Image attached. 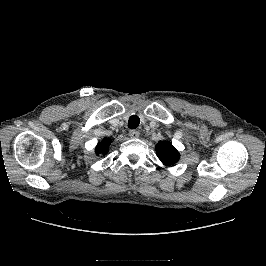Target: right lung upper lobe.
I'll return each instance as SVG.
<instances>
[{
    "instance_id": "obj_1",
    "label": "right lung upper lobe",
    "mask_w": 266,
    "mask_h": 266,
    "mask_svg": "<svg viewBox=\"0 0 266 266\" xmlns=\"http://www.w3.org/2000/svg\"><path fill=\"white\" fill-rule=\"evenodd\" d=\"M111 143L110 139L104 138L101 142L98 143V145L95 148V152L97 155L99 154H107L109 151V145Z\"/></svg>"
}]
</instances>
